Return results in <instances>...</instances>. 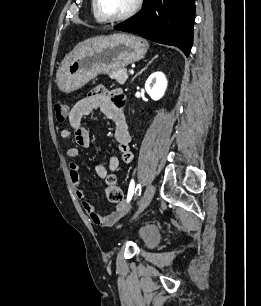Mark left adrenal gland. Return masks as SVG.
<instances>
[{"label": "left adrenal gland", "mask_w": 261, "mask_h": 306, "mask_svg": "<svg viewBox=\"0 0 261 306\" xmlns=\"http://www.w3.org/2000/svg\"><path fill=\"white\" fill-rule=\"evenodd\" d=\"M158 56H155L151 61H149V63L146 65V67H144L138 74L135 75V77L132 79V81L138 76L140 75L143 71H145L147 69V67L153 62L154 59H156Z\"/></svg>", "instance_id": "left-adrenal-gland-1"}]
</instances>
